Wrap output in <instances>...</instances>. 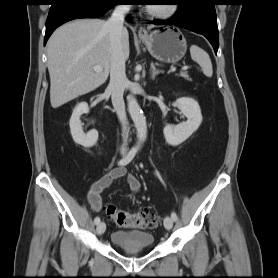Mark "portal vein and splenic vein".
<instances>
[{"instance_id": "obj_1", "label": "portal vein and splenic vein", "mask_w": 278, "mask_h": 278, "mask_svg": "<svg viewBox=\"0 0 278 278\" xmlns=\"http://www.w3.org/2000/svg\"><path fill=\"white\" fill-rule=\"evenodd\" d=\"M93 69H94V71H96V72H101V71H102V67H101V66H98V65L94 66ZM188 69H189V66H183V67L181 68L182 71H186V70H188Z\"/></svg>"}]
</instances>
